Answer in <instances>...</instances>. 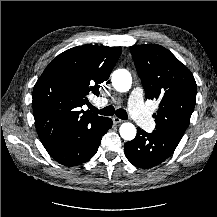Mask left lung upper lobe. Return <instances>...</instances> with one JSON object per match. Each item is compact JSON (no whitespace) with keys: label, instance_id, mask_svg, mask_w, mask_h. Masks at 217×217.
<instances>
[{"label":"left lung upper lobe","instance_id":"left-lung-upper-lobe-1","mask_svg":"<svg viewBox=\"0 0 217 217\" xmlns=\"http://www.w3.org/2000/svg\"><path fill=\"white\" fill-rule=\"evenodd\" d=\"M130 51L145 97L159 102L153 114L156 129L181 139L196 103V82L192 73L160 45L131 46Z\"/></svg>","mask_w":217,"mask_h":217}]
</instances>
